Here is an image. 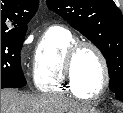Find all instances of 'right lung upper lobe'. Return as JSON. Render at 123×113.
Instances as JSON below:
<instances>
[{"instance_id": "1", "label": "right lung upper lobe", "mask_w": 123, "mask_h": 113, "mask_svg": "<svg viewBox=\"0 0 123 113\" xmlns=\"http://www.w3.org/2000/svg\"><path fill=\"white\" fill-rule=\"evenodd\" d=\"M39 0H1V37L25 35Z\"/></svg>"}]
</instances>
